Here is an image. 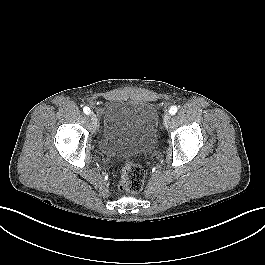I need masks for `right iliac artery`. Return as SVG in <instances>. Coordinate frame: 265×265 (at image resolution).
I'll use <instances>...</instances> for the list:
<instances>
[{"mask_svg": "<svg viewBox=\"0 0 265 265\" xmlns=\"http://www.w3.org/2000/svg\"><path fill=\"white\" fill-rule=\"evenodd\" d=\"M83 112H84L86 115H89V114L91 113V110H90L89 107L85 106V107L83 108Z\"/></svg>", "mask_w": 265, "mask_h": 265, "instance_id": "1", "label": "right iliac artery"}]
</instances>
